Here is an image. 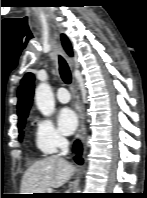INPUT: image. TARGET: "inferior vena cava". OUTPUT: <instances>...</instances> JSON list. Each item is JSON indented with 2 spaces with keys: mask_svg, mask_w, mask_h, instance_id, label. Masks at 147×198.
Segmentation results:
<instances>
[{
  "mask_svg": "<svg viewBox=\"0 0 147 198\" xmlns=\"http://www.w3.org/2000/svg\"><path fill=\"white\" fill-rule=\"evenodd\" d=\"M58 146L61 149V153L59 154L60 156L63 155H67L69 152V142L66 138L64 137H59L58 140Z\"/></svg>",
  "mask_w": 147,
  "mask_h": 198,
  "instance_id": "inferior-vena-cava-1",
  "label": "inferior vena cava"
}]
</instances>
